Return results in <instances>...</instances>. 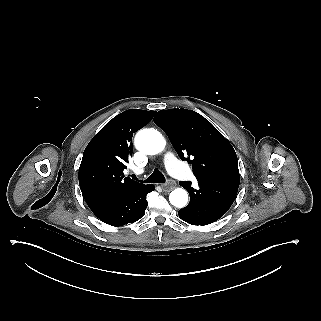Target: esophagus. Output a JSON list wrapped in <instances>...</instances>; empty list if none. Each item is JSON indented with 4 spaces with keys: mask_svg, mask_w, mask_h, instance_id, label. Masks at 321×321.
Returning <instances> with one entry per match:
<instances>
[{
    "mask_svg": "<svg viewBox=\"0 0 321 321\" xmlns=\"http://www.w3.org/2000/svg\"><path fill=\"white\" fill-rule=\"evenodd\" d=\"M174 186H175V183H168V184H163L161 188L163 189V191L169 192L174 188Z\"/></svg>",
    "mask_w": 321,
    "mask_h": 321,
    "instance_id": "esophagus-1",
    "label": "esophagus"
}]
</instances>
